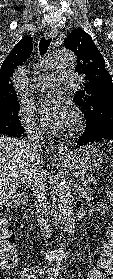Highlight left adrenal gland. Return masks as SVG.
Returning <instances> with one entry per match:
<instances>
[{"label":"left adrenal gland","mask_w":113,"mask_h":279,"mask_svg":"<svg viewBox=\"0 0 113 279\" xmlns=\"http://www.w3.org/2000/svg\"><path fill=\"white\" fill-rule=\"evenodd\" d=\"M75 188L77 189V191L79 192L80 196L81 194L84 195L85 193V190L84 188H81L80 186L76 185Z\"/></svg>","instance_id":"1"}]
</instances>
